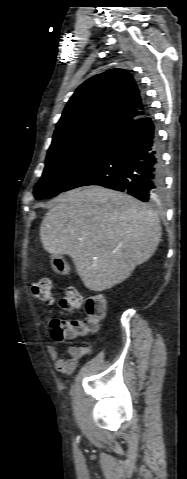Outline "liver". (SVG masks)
Returning a JSON list of instances; mask_svg holds the SVG:
<instances>
[{
    "instance_id": "liver-1",
    "label": "liver",
    "mask_w": 187,
    "mask_h": 479,
    "mask_svg": "<svg viewBox=\"0 0 187 479\" xmlns=\"http://www.w3.org/2000/svg\"><path fill=\"white\" fill-rule=\"evenodd\" d=\"M43 248L68 255L84 285L103 291L148 261L160 239L158 215L132 196L101 186L59 195L40 226Z\"/></svg>"
}]
</instances>
